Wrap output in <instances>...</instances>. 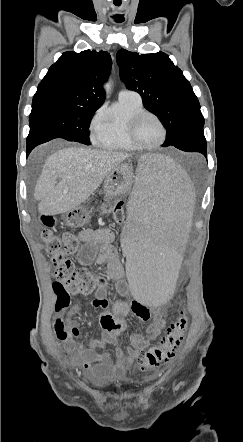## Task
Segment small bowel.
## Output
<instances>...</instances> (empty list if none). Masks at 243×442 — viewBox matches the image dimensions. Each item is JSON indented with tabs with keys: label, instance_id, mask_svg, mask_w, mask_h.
<instances>
[{
	"label": "small bowel",
	"instance_id": "small-bowel-1",
	"mask_svg": "<svg viewBox=\"0 0 243 442\" xmlns=\"http://www.w3.org/2000/svg\"><path fill=\"white\" fill-rule=\"evenodd\" d=\"M78 236L85 244V248L77 256L78 263L106 264L107 276L116 282L118 293L126 295L129 286L125 280L123 264L113 246L114 232L109 228L84 229ZM96 283L98 288L95 290V298L91 301V305L101 310L99 315L101 333L91 337L85 347L77 348L76 341L80 337V331L73 321L82 311L80 305H75L68 311L67 308H56L54 329L57 339L62 342L68 355L69 364L82 369L87 379L96 383H105L125 373L141 351L160 335L165 321L159 308L153 309L150 313L148 307H140L139 302L132 301L130 305L126 301L110 300L107 297L105 278H98ZM131 311L140 320L151 321L144 334L130 336L131 345L124 350L120 346L118 337L125 330L124 318ZM107 344L113 346V354L96 352L97 348Z\"/></svg>",
	"mask_w": 243,
	"mask_h": 442
}]
</instances>
